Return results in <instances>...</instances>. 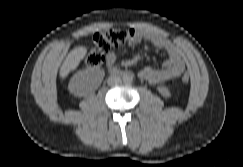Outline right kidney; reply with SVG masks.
Returning <instances> with one entry per match:
<instances>
[{"mask_svg": "<svg viewBox=\"0 0 243 167\" xmlns=\"http://www.w3.org/2000/svg\"><path fill=\"white\" fill-rule=\"evenodd\" d=\"M105 73L100 68H87L78 71L70 80L68 89L77 97L94 92L101 84Z\"/></svg>", "mask_w": 243, "mask_h": 167, "instance_id": "right-kidney-1", "label": "right kidney"}]
</instances>
